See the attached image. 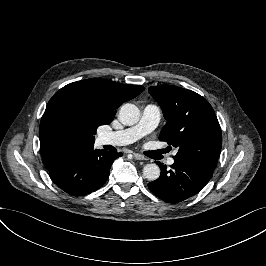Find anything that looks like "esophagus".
<instances>
[{
  "label": "esophagus",
  "mask_w": 266,
  "mask_h": 266,
  "mask_svg": "<svg viewBox=\"0 0 266 266\" xmlns=\"http://www.w3.org/2000/svg\"><path fill=\"white\" fill-rule=\"evenodd\" d=\"M134 158L136 159V160H139V161H143V160H146V158L142 155V154H140V153H134Z\"/></svg>",
  "instance_id": "34e87169"
}]
</instances>
